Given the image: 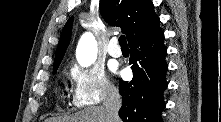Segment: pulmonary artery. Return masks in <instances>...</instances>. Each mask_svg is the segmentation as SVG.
<instances>
[{"label":"pulmonary artery","instance_id":"pulmonary-artery-1","mask_svg":"<svg viewBox=\"0 0 221 122\" xmlns=\"http://www.w3.org/2000/svg\"><path fill=\"white\" fill-rule=\"evenodd\" d=\"M107 51L110 56L118 58L122 55V51L120 47L118 46L117 39L112 38L111 41L109 42Z\"/></svg>","mask_w":221,"mask_h":122}]
</instances>
